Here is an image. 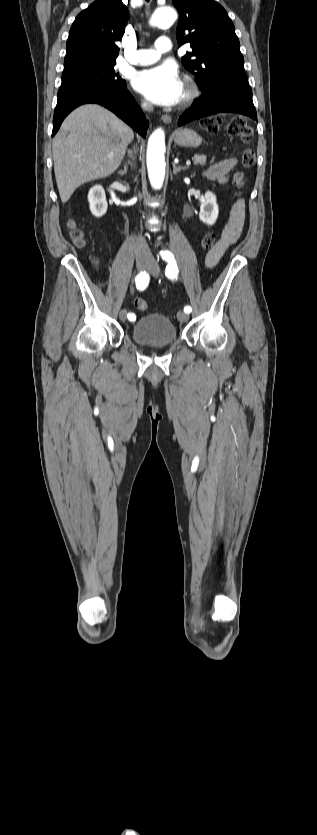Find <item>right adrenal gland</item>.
Listing matches in <instances>:
<instances>
[{
	"label": "right adrenal gland",
	"instance_id": "obj_1",
	"mask_svg": "<svg viewBox=\"0 0 317 835\" xmlns=\"http://www.w3.org/2000/svg\"><path fill=\"white\" fill-rule=\"evenodd\" d=\"M128 155L132 158V153H131V151H128ZM127 171H128V167H127V166H124V169H123V170H121V171H119V172H118V174H120L121 176H123V175L127 174Z\"/></svg>",
	"mask_w": 317,
	"mask_h": 835
}]
</instances>
